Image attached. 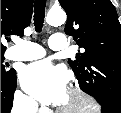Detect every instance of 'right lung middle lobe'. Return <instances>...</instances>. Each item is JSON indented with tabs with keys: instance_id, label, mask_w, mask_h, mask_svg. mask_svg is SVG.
<instances>
[{
	"instance_id": "1",
	"label": "right lung middle lobe",
	"mask_w": 121,
	"mask_h": 113,
	"mask_svg": "<svg viewBox=\"0 0 121 113\" xmlns=\"http://www.w3.org/2000/svg\"><path fill=\"white\" fill-rule=\"evenodd\" d=\"M3 60H4L3 52H1V76L8 74V72L10 71V70L9 71H6L4 69L5 66L2 64Z\"/></svg>"
}]
</instances>
